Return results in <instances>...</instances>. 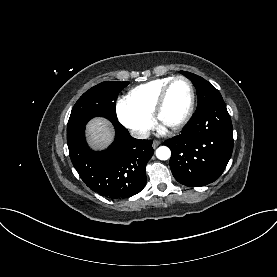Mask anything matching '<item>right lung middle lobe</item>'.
Masks as SVG:
<instances>
[{"label":"right lung middle lobe","mask_w":277,"mask_h":277,"mask_svg":"<svg viewBox=\"0 0 277 277\" xmlns=\"http://www.w3.org/2000/svg\"><path fill=\"white\" fill-rule=\"evenodd\" d=\"M129 82H102L86 91L74 105L67 125V139L85 128L93 117L101 116L117 123L116 99Z\"/></svg>","instance_id":"obj_1"}]
</instances>
